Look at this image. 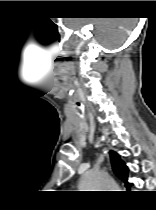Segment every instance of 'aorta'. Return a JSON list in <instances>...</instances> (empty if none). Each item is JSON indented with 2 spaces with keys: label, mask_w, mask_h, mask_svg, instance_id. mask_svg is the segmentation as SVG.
I'll return each instance as SVG.
<instances>
[{
  "label": "aorta",
  "mask_w": 156,
  "mask_h": 210,
  "mask_svg": "<svg viewBox=\"0 0 156 210\" xmlns=\"http://www.w3.org/2000/svg\"><path fill=\"white\" fill-rule=\"evenodd\" d=\"M80 188L84 191H106L108 189H116L117 185L105 173L87 171L81 176Z\"/></svg>",
  "instance_id": "aorta-1"
}]
</instances>
